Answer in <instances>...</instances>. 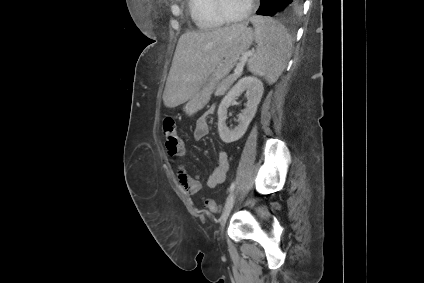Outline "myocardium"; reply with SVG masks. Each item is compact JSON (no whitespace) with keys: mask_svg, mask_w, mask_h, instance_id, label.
<instances>
[{"mask_svg":"<svg viewBox=\"0 0 424 283\" xmlns=\"http://www.w3.org/2000/svg\"><path fill=\"white\" fill-rule=\"evenodd\" d=\"M256 6H257V0H250L249 6L242 14L231 15L225 9L223 0H214V8L217 15L224 22H228V23H237V22H243L247 20L256 9Z\"/></svg>","mask_w":424,"mask_h":283,"instance_id":"1","label":"myocardium"}]
</instances>
